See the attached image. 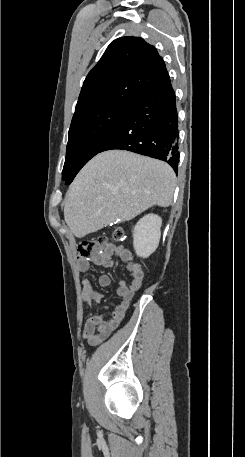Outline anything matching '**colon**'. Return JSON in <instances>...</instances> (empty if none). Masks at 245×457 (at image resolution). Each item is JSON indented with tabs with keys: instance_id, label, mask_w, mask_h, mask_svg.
Here are the masks:
<instances>
[{
	"instance_id": "5ec220e1",
	"label": "colon",
	"mask_w": 245,
	"mask_h": 457,
	"mask_svg": "<svg viewBox=\"0 0 245 457\" xmlns=\"http://www.w3.org/2000/svg\"><path fill=\"white\" fill-rule=\"evenodd\" d=\"M112 239L115 242H123L126 239V234L122 228H115L112 234ZM106 238L98 236L81 241L77 246V256L80 260L91 259L100 254L106 247Z\"/></svg>"
}]
</instances>
